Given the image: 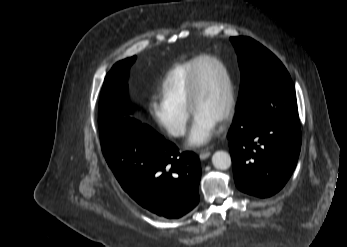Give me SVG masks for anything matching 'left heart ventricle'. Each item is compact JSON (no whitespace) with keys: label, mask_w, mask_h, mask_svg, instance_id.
I'll return each mask as SVG.
<instances>
[{"label":"left heart ventricle","mask_w":347,"mask_h":247,"mask_svg":"<svg viewBox=\"0 0 347 247\" xmlns=\"http://www.w3.org/2000/svg\"><path fill=\"white\" fill-rule=\"evenodd\" d=\"M199 95L195 115L216 121L222 116L227 102V83L221 68L211 61L201 64L199 71Z\"/></svg>","instance_id":"1"}]
</instances>
